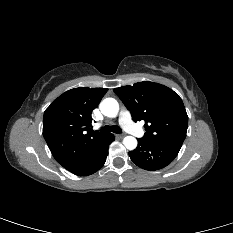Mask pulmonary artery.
Instances as JSON below:
<instances>
[{"label":"pulmonary artery","mask_w":233,"mask_h":233,"mask_svg":"<svg viewBox=\"0 0 233 233\" xmlns=\"http://www.w3.org/2000/svg\"><path fill=\"white\" fill-rule=\"evenodd\" d=\"M119 122L121 126L129 133L134 135H140V130L138 127L133 123L131 119V115L127 110H123L120 113Z\"/></svg>","instance_id":"e3ab8cb5"}]
</instances>
